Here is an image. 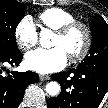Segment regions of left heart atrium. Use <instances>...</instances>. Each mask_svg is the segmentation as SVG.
Listing matches in <instances>:
<instances>
[{"label":"left heart atrium","instance_id":"obj_1","mask_svg":"<svg viewBox=\"0 0 108 108\" xmlns=\"http://www.w3.org/2000/svg\"><path fill=\"white\" fill-rule=\"evenodd\" d=\"M68 61V56L61 47L36 49L25 57L26 66L40 74H48L62 70Z\"/></svg>","mask_w":108,"mask_h":108}]
</instances>
